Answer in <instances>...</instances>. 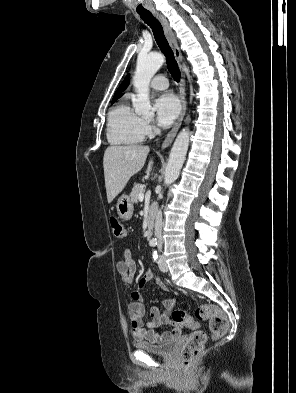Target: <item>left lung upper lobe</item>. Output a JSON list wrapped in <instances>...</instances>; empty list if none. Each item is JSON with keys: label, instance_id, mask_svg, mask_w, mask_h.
I'll return each mask as SVG.
<instances>
[{"label": "left lung upper lobe", "instance_id": "obj_1", "mask_svg": "<svg viewBox=\"0 0 296 393\" xmlns=\"http://www.w3.org/2000/svg\"><path fill=\"white\" fill-rule=\"evenodd\" d=\"M128 84H129V79H128V76H127V77L124 79V81L122 82V84L120 85V87H119V88L117 89V91L115 92V95H114L113 100H112V104H113L118 98L121 97V92H123V91L127 88Z\"/></svg>", "mask_w": 296, "mask_h": 393}]
</instances>
